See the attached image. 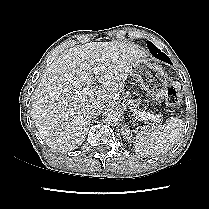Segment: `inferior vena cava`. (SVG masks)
Returning <instances> with one entry per match:
<instances>
[{
  "label": "inferior vena cava",
  "mask_w": 209,
  "mask_h": 209,
  "mask_svg": "<svg viewBox=\"0 0 209 209\" xmlns=\"http://www.w3.org/2000/svg\"><path fill=\"white\" fill-rule=\"evenodd\" d=\"M102 108L99 106H94L91 110H90V115L92 116H96L99 115L101 113Z\"/></svg>",
  "instance_id": "obj_1"
}]
</instances>
